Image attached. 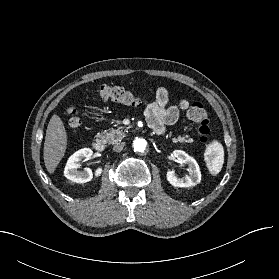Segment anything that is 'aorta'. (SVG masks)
<instances>
[{"instance_id":"1","label":"aorta","mask_w":279,"mask_h":279,"mask_svg":"<svg viewBox=\"0 0 279 279\" xmlns=\"http://www.w3.org/2000/svg\"><path fill=\"white\" fill-rule=\"evenodd\" d=\"M146 146H147V142L142 138H136L133 142L134 150L137 152H144Z\"/></svg>"}]
</instances>
